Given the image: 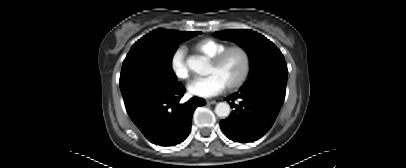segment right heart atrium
<instances>
[{"mask_svg": "<svg viewBox=\"0 0 406 168\" xmlns=\"http://www.w3.org/2000/svg\"><path fill=\"white\" fill-rule=\"evenodd\" d=\"M170 67L179 80L189 78V69L186 61V49L178 47L170 57Z\"/></svg>", "mask_w": 406, "mask_h": 168, "instance_id": "d8ad5b80", "label": "right heart atrium"}]
</instances>
